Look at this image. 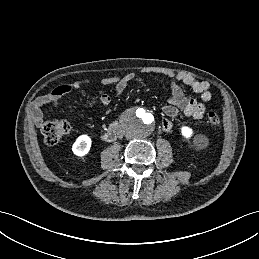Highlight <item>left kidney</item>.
Returning <instances> with one entry per match:
<instances>
[{
  "label": "left kidney",
  "mask_w": 259,
  "mask_h": 259,
  "mask_svg": "<svg viewBox=\"0 0 259 259\" xmlns=\"http://www.w3.org/2000/svg\"><path fill=\"white\" fill-rule=\"evenodd\" d=\"M181 134L182 136H184L186 139H189L192 137L193 135V130L190 128V127H187V126H182L181 127ZM200 138H197V141L199 140Z\"/></svg>",
  "instance_id": "obj_1"
}]
</instances>
